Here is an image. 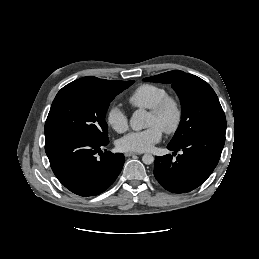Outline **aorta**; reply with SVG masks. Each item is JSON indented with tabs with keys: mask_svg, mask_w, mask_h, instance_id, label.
Here are the masks:
<instances>
[{
	"mask_svg": "<svg viewBox=\"0 0 259 259\" xmlns=\"http://www.w3.org/2000/svg\"><path fill=\"white\" fill-rule=\"evenodd\" d=\"M149 126V115L147 111L143 109H138L134 111L130 119V127L135 130L139 131L145 129ZM142 161L144 164H152L154 162V157L152 154H144L142 157Z\"/></svg>",
	"mask_w": 259,
	"mask_h": 259,
	"instance_id": "762f6f07",
	"label": "aorta"
}]
</instances>
